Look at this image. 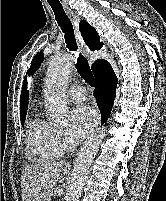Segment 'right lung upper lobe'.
<instances>
[{
  "label": "right lung upper lobe",
  "mask_w": 166,
  "mask_h": 201,
  "mask_svg": "<svg viewBox=\"0 0 166 201\" xmlns=\"http://www.w3.org/2000/svg\"><path fill=\"white\" fill-rule=\"evenodd\" d=\"M79 29L85 43L90 48V50H96V49L99 50L103 46V43L100 42V38L96 30L85 20L80 21ZM103 62H105V60L98 59L97 61H95V63H93L92 65L93 73H95L100 68ZM27 108H28V91H27V81L25 77L20 96V118L26 117Z\"/></svg>",
  "instance_id": "right-lung-upper-lobe-1"
}]
</instances>
